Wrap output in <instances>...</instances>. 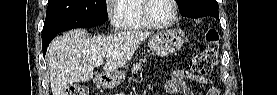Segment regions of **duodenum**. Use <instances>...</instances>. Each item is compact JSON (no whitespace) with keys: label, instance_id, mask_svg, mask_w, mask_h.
Instances as JSON below:
<instances>
[{"label":"duodenum","instance_id":"duodenum-1","mask_svg":"<svg viewBox=\"0 0 277 95\" xmlns=\"http://www.w3.org/2000/svg\"><path fill=\"white\" fill-rule=\"evenodd\" d=\"M100 80L103 81V80H104V77H103V76H100Z\"/></svg>","mask_w":277,"mask_h":95}]
</instances>
